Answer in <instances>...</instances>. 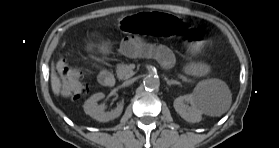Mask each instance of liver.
<instances>
[{
  "instance_id": "6515ba94",
  "label": "liver",
  "mask_w": 279,
  "mask_h": 148,
  "mask_svg": "<svg viewBox=\"0 0 279 148\" xmlns=\"http://www.w3.org/2000/svg\"><path fill=\"white\" fill-rule=\"evenodd\" d=\"M51 87H52L53 93L58 96L61 92L62 83L55 72L54 62H52V64H51Z\"/></svg>"
}]
</instances>
